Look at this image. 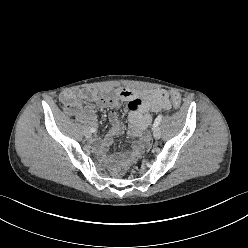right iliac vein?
<instances>
[{
  "mask_svg": "<svg viewBox=\"0 0 248 248\" xmlns=\"http://www.w3.org/2000/svg\"><path fill=\"white\" fill-rule=\"evenodd\" d=\"M84 135L87 137V138H90L91 137V131L89 129H86L84 131Z\"/></svg>",
  "mask_w": 248,
  "mask_h": 248,
  "instance_id": "1",
  "label": "right iliac vein"
}]
</instances>
